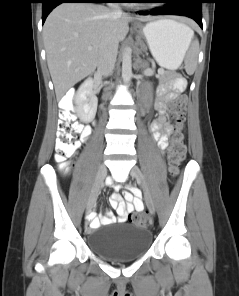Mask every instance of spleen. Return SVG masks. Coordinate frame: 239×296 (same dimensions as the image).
I'll use <instances>...</instances> for the list:
<instances>
[{
    "label": "spleen",
    "mask_w": 239,
    "mask_h": 296,
    "mask_svg": "<svg viewBox=\"0 0 239 296\" xmlns=\"http://www.w3.org/2000/svg\"><path fill=\"white\" fill-rule=\"evenodd\" d=\"M187 30L189 32V42H191V39H192L194 33L189 27H187ZM189 45H190V43H189ZM189 45H188V47H189ZM197 54H198V43H197V41H195L192 45V48H191L189 55H188L186 62H185V69L188 74L194 73V70H195L196 64H197Z\"/></svg>",
    "instance_id": "spleen-1"
}]
</instances>
